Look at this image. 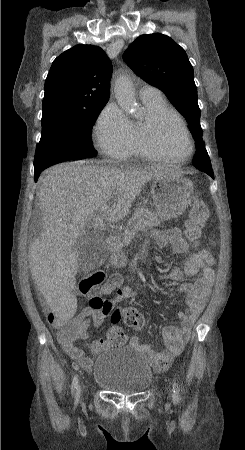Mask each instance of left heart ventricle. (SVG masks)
<instances>
[{
    "label": "left heart ventricle",
    "instance_id": "left-heart-ventricle-1",
    "mask_svg": "<svg viewBox=\"0 0 245 450\" xmlns=\"http://www.w3.org/2000/svg\"><path fill=\"white\" fill-rule=\"evenodd\" d=\"M160 143L164 149L175 156L189 152V144L180 127L173 121L167 122L160 132Z\"/></svg>",
    "mask_w": 245,
    "mask_h": 450
}]
</instances>
